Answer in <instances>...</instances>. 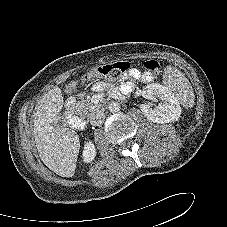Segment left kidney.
I'll use <instances>...</instances> for the list:
<instances>
[{"label": "left kidney", "mask_w": 227, "mask_h": 227, "mask_svg": "<svg viewBox=\"0 0 227 227\" xmlns=\"http://www.w3.org/2000/svg\"><path fill=\"white\" fill-rule=\"evenodd\" d=\"M148 96L161 102L155 108L149 103L140 105V109L148 120L155 123H169L179 119L181 107L177 99L163 86L157 83L149 84L146 87Z\"/></svg>", "instance_id": "1"}]
</instances>
